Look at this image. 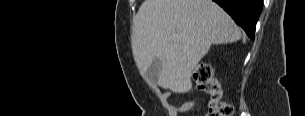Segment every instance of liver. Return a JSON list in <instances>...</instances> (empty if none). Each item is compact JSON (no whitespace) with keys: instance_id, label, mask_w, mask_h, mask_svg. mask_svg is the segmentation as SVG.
Here are the masks:
<instances>
[{"instance_id":"1","label":"liver","mask_w":305,"mask_h":116,"mask_svg":"<svg viewBox=\"0 0 305 116\" xmlns=\"http://www.w3.org/2000/svg\"><path fill=\"white\" fill-rule=\"evenodd\" d=\"M241 36L212 0H145L135 18L132 52L142 74L158 58V85L186 93L192 89V72L211 44L233 43Z\"/></svg>"}]
</instances>
